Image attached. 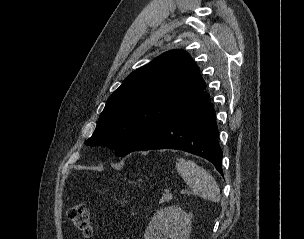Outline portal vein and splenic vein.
<instances>
[{
	"instance_id": "obj_1",
	"label": "portal vein and splenic vein",
	"mask_w": 304,
	"mask_h": 239,
	"mask_svg": "<svg viewBox=\"0 0 304 239\" xmlns=\"http://www.w3.org/2000/svg\"><path fill=\"white\" fill-rule=\"evenodd\" d=\"M181 193H187V190H181Z\"/></svg>"
}]
</instances>
